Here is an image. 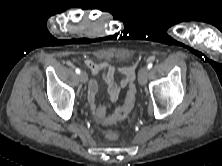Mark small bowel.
<instances>
[{
  "label": "small bowel",
  "instance_id": "obj_1",
  "mask_svg": "<svg viewBox=\"0 0 222 166\" xmlns=\"http://www.w3.org/2000/svg\"><path fill=\"white\" fill-rule=\"evenodd\" d=\"M86 67L94 74L98 75L103 72L105 82L108 86V96L111 102H116L120 96V92L135 79V65L122 66L118 72L122 75L119 83L115 81L116 68L107 62L96 63L92 60L85 61ZM98 92V83L95 79H91L88 84V102L93 114L103 125L108 111V105L97 102L96 96Z\"/></svg>",
  "mask_w": 222,
  "mask_h": 166
}]
</instances>
